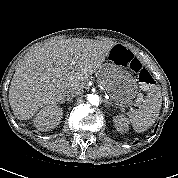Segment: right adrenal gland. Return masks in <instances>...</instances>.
<instances>
[{"instance_id": "1", "label": "right adrenal gland", "mask_w": 178, "mask_h": 178, "mask_svg": "<svg viewBox=\"0 0 178 178\" xmlns=\"http://www.w3.org/2000/svg\"><path fill=\"white\" fill-rule=\"evenodd\" d=\"M72 98H66V99H63L60 101L61 104L65 103L66 101L67 102H71Z\"/></svg>"}]
</instances>
